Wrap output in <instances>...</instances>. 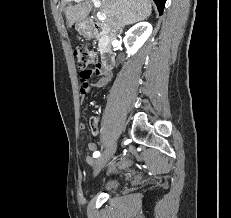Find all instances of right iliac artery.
Instances as JSON below:
<instances>
[{
  "instance_id": "82829eb1",
  "label": "right iliac artery",
  "mask_w": 231,
  "mask_h": 218,
  "mask_svg": "<svg viewBox=\"0 0 231 218\" xmlns=\"http://www.w3.org/2000/svg\"><path fill=\"white\" fill-rule=\"evenodd\" d=\"M99 156H100V152H99V151L94 152V154H93V157H94V158H97V157H99Z\"/></svg>"
}]
</instances>
